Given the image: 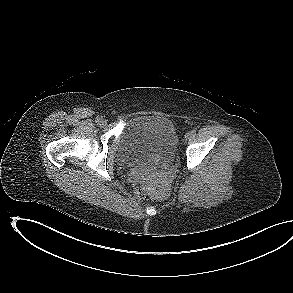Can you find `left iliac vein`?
<instances>
[{"instance_id":"1","label":"left iliac vein","mask_w":293,"mask_h":293,"mask_svg":"<svg viewBox=\"0 0 293 293\" xmlns=\"http://www.w3.org/2000/svg\"><path fill=\"white\" fill-rule=\"evenodd\" d=\"M190 136H191V133H190V132H188V133L185 134V138H186V139H189Z\"/></svg>"}]
</instances>
